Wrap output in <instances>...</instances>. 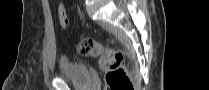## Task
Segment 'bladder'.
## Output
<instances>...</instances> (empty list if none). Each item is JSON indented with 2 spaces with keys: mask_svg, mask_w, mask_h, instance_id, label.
<instances>
[{
  "mask_svg": "<svg viewBox=\"0 0 209 90\" xmlns=\"http://www.w3.org/2000/svg\"><path fill=\"white\" fill-rule=\"evenodd\" d=\"M58 77L69 81L74 86L94 87L90 69L78 61H72L61 57L58 63Z\"/></svg>",
  "mask_w": 209,
  "mask_h": 90,
  "instance_id": "31cf9c89",
  "label": "bladder"
}]
</instances>
